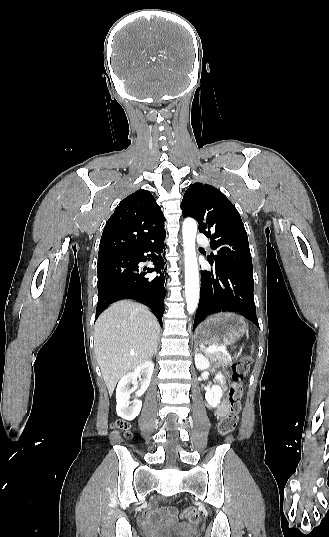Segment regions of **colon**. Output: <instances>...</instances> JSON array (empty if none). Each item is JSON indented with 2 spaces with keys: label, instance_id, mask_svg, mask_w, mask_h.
Returning <instances> with one entry per match:
<instances>
[{
  "label": "colon",
  "instance_id": "colon-1",
  "mask_svg": "<svg viewBox=\"0 0 329 537\" xmlns=\"http://www.w3.org/2000/svg\"><path fill=\"white\" fill-rule=\"evenodd\" d=\"M250 367V359L248 357L240 358L232 368V378L234 385L230 390V409L227 416L220 422L219 431L222 435H227L234 430L239 419V411L241 409L242 400V381ZM113 427L123 432L126 438L130 437L129 424L126 421L117 419ZM182 518L187 519L190 523L196 524L199 521V514L194 508L186 509L182 513Z\"/></svg>",
  "mask_w": 329,
  "mask_h": 537
}]
</instances>
